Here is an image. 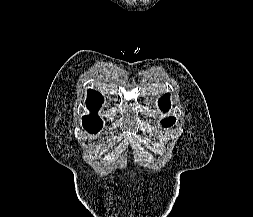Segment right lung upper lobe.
<instances>
[{
    "instance_id": "cb5924a9",
    "label": "right lung upper lobe",
    "mask_w": 253,
    "mask_h": 217,
    "mask_svg": "<svg viewBox=\"0 0 253 217\" xmlns=\"http://www.w3.org/2000/svg\"><path fill=\"white\" fill-rule=\"evenodd\" d=\"M103 101L104 98L99 92L88 90L86 105L87 108L92 111V114L82 117L83 124H102V120L98 117L96 112L101 107Z\"/></svg>"
}]
</instances>
